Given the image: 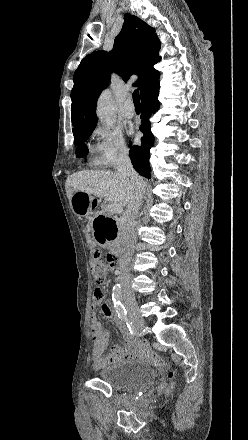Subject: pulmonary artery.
<instances>
[{
    "mask_svg": "<svg viewBox=\"0 0 248 440\" xmlns=\"http://www.w3.org/2000/svg\"><path fill=\"white\" fill-rule=\"evenodd\" d=\"M123 115L127 119H131L135 116L134 105L130 99H128L124 104Z\"/></svg>",
    "mask_w": 248,
    "mask_h": 440,
    "instance_id": "e3ab8cb5",
    "label": "pulmonary artery"
}]
</instances>
